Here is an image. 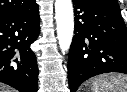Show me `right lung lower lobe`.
Wrapping results in <instances>:
<instances>
[{"label":"right lung lower lobe","instance_id":"98d812e1","mask_svg":"<svg viewBox=\"0 0 127 92\" xmlns=\"http://www.w3.org/2000/svg\"><path fill=\"white\" fill-rule=\"evenodd\" d=\"M38 5L0 17V82L37 92L38 67L30 45L40 31Z\"/></svg>","mask_w":127,"mask_h":92}]
</instances>
